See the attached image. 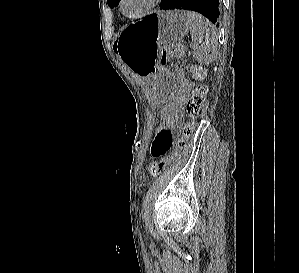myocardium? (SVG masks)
<instances>
[{
    "label": "myocardium",
    "instance_id": "obj_1",
    "mask_svg": "<svg viewBox=\"0 0 299 273\" xmlns=\"http://www.w3.org/2000/svg\"><path fill=\"white\" fill-rule=\"evenodd\" d=\"M160 1L161 0H149L147 5L140 12L135 13V14H127L124 11L125 0H120L119 9H120L121 13L124 16H126L127 18L137 19V18H141V17L147 15L151 10H153L160 3Z\"/></svg>",
    "mask_w": 299,
    "mask_h": 273
}]
</instances>
